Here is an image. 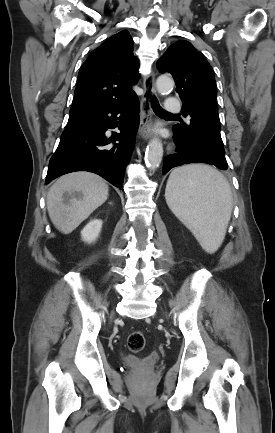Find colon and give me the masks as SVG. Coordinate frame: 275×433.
Masks as SVG:
<instances>
[{
  "mask_svg": "<svg viewBox=\"0 0 275 433\" xmlns=\"http://www.w3.org/2000/svg\"><path fill=\"white\" fill-rule=\"evenodd\" d=\"M145 346V335L142 331H133L127 339V347L133 353H138Z\"/></svg>",
  "mask_w": 275,
  "mask_h": 433,
  "instance_id": "1",
  "label": "colon"
}]
</instances>
